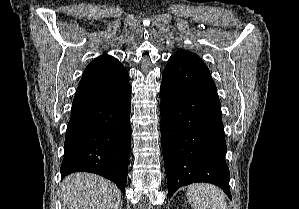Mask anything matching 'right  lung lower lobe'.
<instances>
[{"label":"right lung lower lobe","instance_id":"obj_1","mask_svg":"<svg viewBox=\"0 0 299 209\" xmlns=\"http://www.w3.org/2000/svg\"><path fill=\"white\" fill-rule=\"evenodd\" d=\"M128 72L84 70L67 126L61 176L91 172L124 193L131 149Z\"/></svg>","mask_w":299,"mask_h":209}]
</instances>
